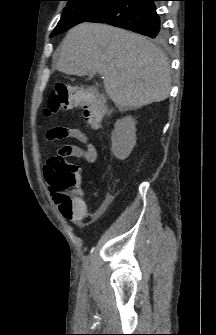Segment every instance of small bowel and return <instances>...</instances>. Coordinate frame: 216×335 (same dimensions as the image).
Wrapping results in <instances>:
<instances>
[{"label": "small bowel", "instance_id": "obj_1", "mask_svg": "<svg viewBox=\"0 0 216 335\" xmlns=\"http://www.w3.org/2000/svg\"><path fill=\"white\" fill-rule=\"evenodd\" d=\"M47 139L51 141L55 140H66L73 139L77 140L80 144H68L71 150L70 156L84 160L87 163H94L98 159V151L96 146L89 140V138L79 129L75 127H55L51 128L47 134ZM51 171V165L47 163L44 168L45 179L49 183V173ZM50 188L52 195L56 198L57 193ZM75 201L80 203L81 207L78 211H73L67 218L75 224L81 225L86 219L90 218L93 221L97 220L100 216V212L96 211L92 214L88 212V207L85 201L84 192L79 189L77 191V197Z\"/></svg>", "mask_w": 216, "mask_h": 335}]
</instances>
